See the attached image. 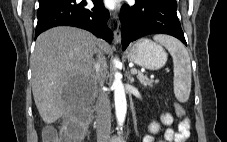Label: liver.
Returning a JSON list of instances; mask_svg holds the SVG:
<instances>
[{"mask_svg":"<svg viewBox=\"0 0 227 142\" xmlns=\"http://www.w3.org/2000/svg\"><path fill=\"white\" fill-rule=\"evenodd\" d=\"M109 45L85 30L60 26L40 34L31 58L32 92L36 107L46 124L71 111V99L81 85L93 86V54Z\"/></svg>","mask_w":227,"mask_h":142,"instance_id":"1","label":"liver"}]
</instances>
